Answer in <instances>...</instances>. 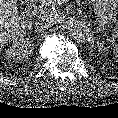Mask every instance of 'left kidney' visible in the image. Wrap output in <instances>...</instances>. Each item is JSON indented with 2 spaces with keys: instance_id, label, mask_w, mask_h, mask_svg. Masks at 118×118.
Returning <instances> with one entry per match:
<instances>
[{
  "instance_id": "1",
  "label": "left kidney",
  "mask_w": 118,
  "mask_h": 118,
  "mask_svg": "<svg viewBox=\"0 0 118 118\" xmlns=\"http://www.w3.org/2000/svg\"><path fill=\"white\" fill-rule=\"evenodd\" d=\"M98 48L100 51L105 50L104 45L102 43H98Z\"/></svg>"
}]
</instances>
